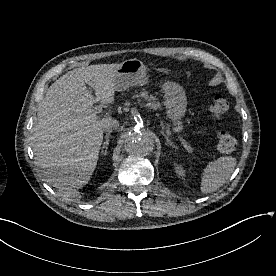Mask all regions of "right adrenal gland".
I'll use <instances>...</instances> for the list:
<instances>
[{
	"label": "right adrenal gland",
	"instance_id": "right-adrenal-gland-1",
	"mask_svg": "<svg viewBox=\"0 0 276 276\" xmlns=\"http://www.w3.org/2000/svg\"><path fill=\"white\" fill-rule=\"evenodd\" d=\"M111 132H107L105 136V141L102 143V149H105L102 151V154L106 155L107 154V149L109 145V137H110Z\"/></svg>",
	"mask_w": 276,
	"mask_h": 276
}]
</instances>
